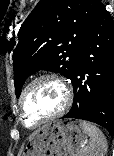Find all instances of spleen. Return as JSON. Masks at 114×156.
Returning <instances> with one entry per match:
<instances>
[{
	"label": "spleen",
	"instance_id": "spleen-1",
	"mask_svg": "<svg viewBox=\"0 0 114 156\" xmlns=\"http://www.w3.org/2000/svg\"><path fill=\"white\" fill-rule=\"evenodd\" d=\"M80 125L89 136L90 142L81 149L79 156H105L107 152V140L102 131L87 121H80Z\"/></svg>",
	"mask_w": 114,
	"mask_h": 156
}]
</instances>
